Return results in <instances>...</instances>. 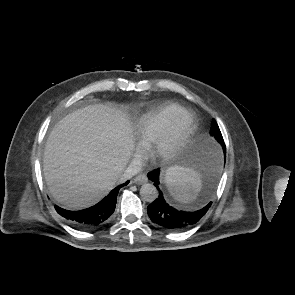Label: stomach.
Instances as JSON below:
<instances>
[{
	"mask_svg": "<svg viewBox=\"0 0 295 295\" xmlns=\"http://www.w3.org/2000/svg\"><path fill=\"white\" fill-rule=\"evenodd\" d=\"M203 151L204 148L201 145H190L175 166L198 172V170L203 166Z\"/></svg>",
	"mask_w": 295,
	"mask_h": 295,
	"instance_id": "1",
	"label": "stomach"
}]
</instances>
